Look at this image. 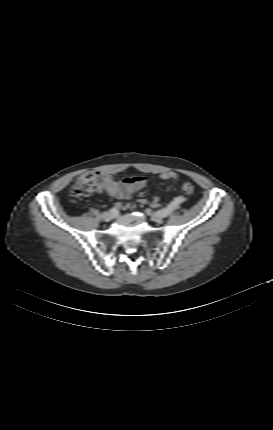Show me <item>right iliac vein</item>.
Segmentation results:
<instances>
[{"instance_id": "obj_1", "label": "right iliac vein", "mask_w": 273, "mask_h": 430, "mask_svg": "<svg viewBox=\"0 0 273 430\" xmlns=\"http://www.w3.org/2000/svg\"><path fill=\"white\" fill-rule=\"evenodd\" d=\"M115 216H116V214H114L112 210L107 211V212H104V213L102 214V218H103V220H104V221H106V222H108V221L112 220Z\"/></svg>"}]
</instances>
